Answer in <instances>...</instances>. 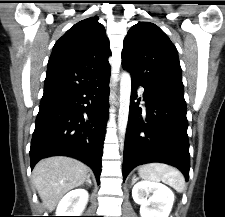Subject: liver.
Listing matches in <instances>:
<instances>
[{
    "instance_id": "6515ba94",
    "label": "liver",
    "mask_w": 225,
    "mask_h": 217,
    "mask_svg": "<svg viewBox=\"0 0 225 217\" xmlns=\"http://www.w3.org/2000/svg\"><path fill=\"white\" fill-rule=\"evenodd\" d=\"M89 168L79 160L53 156L40 160L32 172V180L43 202L52 212L62 197L87 179Z\"/></svg>"
}]
</instances>
